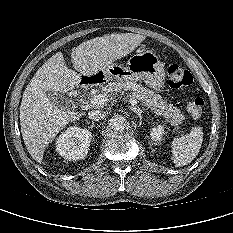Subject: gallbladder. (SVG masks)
<instances>
[{
    "label": "gallbladder",
    "mask_w": 233,
    "mask_h": 233,
    "mask_svg": "<svg viewBox=\"0 0 233 233\" xmlns=\"http://www.w3.org/2000/svg\"><path fill=\"white\" fill-rule=\"evenodd\" d=\"M47 96L51 102L62 109L66 108L68 105V99L62 93L47 92Z\"/></svg>",
    "instance_id": "obj_1"
}]
</instances>
